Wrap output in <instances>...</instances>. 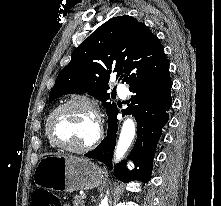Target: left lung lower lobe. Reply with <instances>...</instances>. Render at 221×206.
<instances>
[{"mask_svg": "<svg viewBox=\"0 0 221 206\" xmlns=\"http://www.w3.org/2000/svg\"><path fill=\"white\" fill-rule=\"evenodd\" d=\"M171 79L169 67L162 73L147 79L129 89L132 92L128 109L124 114H132L137 121L138 135L131 152V159L138 170L129 171L126 163L121 162L115 167V176L122 181L150 179L152 161L157 142L161 136V129L167 123L171 106ZM118 109L114 113L107 136L93 151L85 154L86 157L102 161L111 167L112 154L116 144Z\"/></svg>", "mask_w": 221, "mask_h": 206, "instance_id": "1", "label": "left lung lower lobe"}]
</instances>
